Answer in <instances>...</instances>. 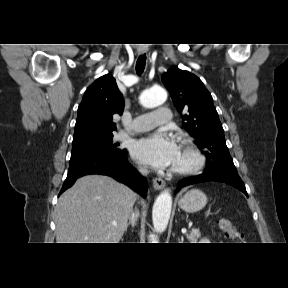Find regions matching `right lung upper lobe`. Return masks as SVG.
I'll return each instance as SVG.
<instances>
[{"label": "right lung upper lobe", "instance_id": "obj_1", "mask_svg": "<svg viewBox=\"0 0 288 288\" xmlns=\"http://www.w3.org/2000/svg\"><path fill=\"white\" fill-rule=\"evenodd\" d=\"M124 100L114 77L98 78L84 93L78 107L73 145L107 137L116 130L113 114L121 115Z\"/></svg>", "mask_w": 288, "mask_h": 288}]
</instances>
